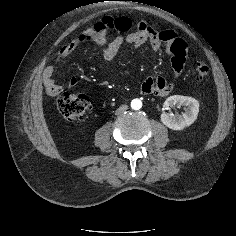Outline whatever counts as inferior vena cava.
<instances>
[{"label":"inferior vena cava","mask_w":236,"mask_h":236,"mask_svg":"<svg viewBox=\"0 0 236 236\" xmlns=\"http://www.w3.org/2000/svg\"><path fill=\"white\" fill-rule=\"evenodd\" d=\"M128 109V106L127 105H121L117 110H116V113L117 114H120L124 111H126Z\"/></svg>","instance_id":"inferior-vena-cava-1"}]
</instances>
